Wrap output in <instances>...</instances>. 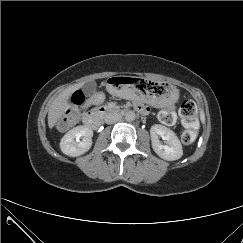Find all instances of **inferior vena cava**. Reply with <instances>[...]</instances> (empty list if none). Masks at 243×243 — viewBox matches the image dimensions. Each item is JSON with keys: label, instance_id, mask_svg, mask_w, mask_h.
<instances>
[{"label": "inferior vena cava", "instance_id": "inferior-vena-cava-1", "mask_svg": "<svg viewBox=\"0 0 243 243\" xmlns=\"http://www.w3.org/2000/svg\"><path fill=\"white\" fill-rule=\"evenodd\" d=\"M121 115L118 113H108L105 116V123L113 124L121 120Z\"/></svg>", "mask_w": 243, "mask_h": 243}]
</instances>
